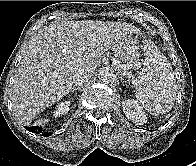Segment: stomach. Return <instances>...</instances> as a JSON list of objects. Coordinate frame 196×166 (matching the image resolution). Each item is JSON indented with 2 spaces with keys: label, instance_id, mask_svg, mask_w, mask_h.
I'll list each match as a JSON object with an SVG mask.
<instances>
[{
  "label": "stomach",
  "instance_id": "1",
  "mask_svg": "<svg viewBox=\"0 0 196 166\" xmlns=\"http://www.w3.org/2000/svg\"><path fill=\"white\" fill-rule=\"evenodd\" d=\"M115 55L128 64L138 61L141 56L137 39L133 35H127L114 46Z\"/></svg>",
  "mask_w": 196,
  "mask_h": 166
}]
</instances>
